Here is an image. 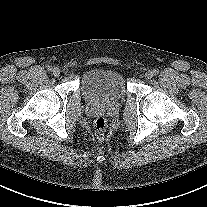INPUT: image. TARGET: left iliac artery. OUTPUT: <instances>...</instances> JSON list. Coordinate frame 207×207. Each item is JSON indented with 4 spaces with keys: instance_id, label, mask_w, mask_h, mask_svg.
I'll list each match as a JSON object with an SVG mask.
<instances>
[{
    "instance_id": "left-iliac-artery-1",
    "label": "left iliac artery",
    "mask_w": 207,
    "mask_h": 207,
    "mask_svg": "<svg viewBox=\"0 0 207 207\" xmlns=\"http://www.w3.org/2000/svg\"><path fill=\"white\" fill-rule=\"evenodd\" d=\"M153 74H154V75H158V74H159V70H158V69H154V70H153Z\"/></svg>"
}]
</instances>
